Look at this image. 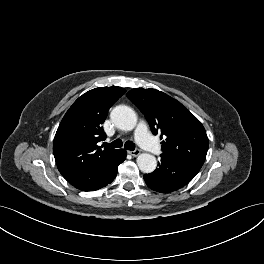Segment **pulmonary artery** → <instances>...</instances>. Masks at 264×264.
<instances>
[{
    "label": "pulmonary artery",
    "instance_id": "e3ab8cb5",
    "mask_svg": "<svg viewBox=\"0 0 264 264\" xmlns=\"http://www.w3.org/2000/svg\"><path fill=\"white\" fill-rule=\"evenodd\" d=\"M135 137L141 147L153 154H159L161 148L148 131L147 125L140 122L135 131Z\"/></svg>",
    "mask_w": 264,
    "mask_h": 264
}]
</instances>
